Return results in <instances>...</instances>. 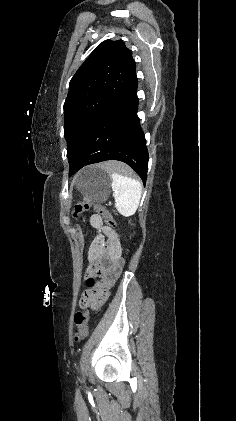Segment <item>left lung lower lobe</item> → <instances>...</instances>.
I'll list each match as a JSON object with an SVG mask.
<instances>
[{
    "label": "left lung lower lobe",
    "instance_id": "obj_1",
    "mask_svg": "<svg viewBox=\"0 0 236 421\" xmlns=\"http://www.w3.org/2000/svg\"><path fill=\"white\" fill-rule=\"evenodd\" d=\"M137 86L134 69L123 91L101 115L88 135L78 160L70 165V176L88 164L120 160L134 169L145 184L148 150L137 115Z\"/></svg>",
    "mask_w": 236,
    "mask_h": 421
}]
</instances>
